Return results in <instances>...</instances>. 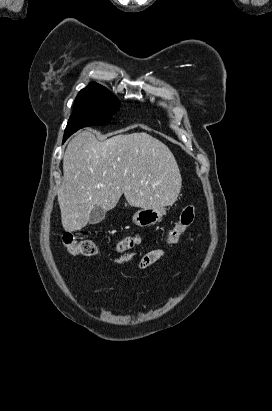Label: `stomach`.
Returning a JSON list of instances; mask_svg holds the SVG:
<instances>
[{"label": "stomach", "mask_w": 272, "mask_h": 411, "mask_svg": "<svg viewBox=\"0 0 272 411\" xmlns=\"http://www.w3.org/2000/svg\"><path fill=\"white\" fill-rule=\"evenodd\" d=\"M165 214V208H141L132 219L137 226L147 227L158 223Z\"/></svg>", "instance_id": "1"}]
</instances>
